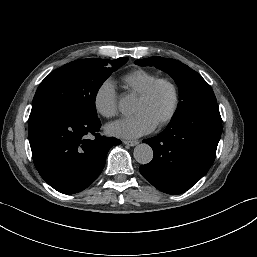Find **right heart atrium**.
I'll list each match as a JSON object with an SVG mask.
<instances>
[{
    "instance_id": "1",
    "label": "right heart atrium",
    "mask_w": 257,
    "mask_h": 257,
    "mask_svg": "<svg viewBox=\"0 0 257 257\" xmlns=\"http://www.w3.org/2000/svg\"><path fill=\"white\" fill-rule=\"evenodd\" d=\"M94 108L101 116L112 118L118 113V95L110 81L101 83L93 98Z\"/></svg>"
}]
</instances>
